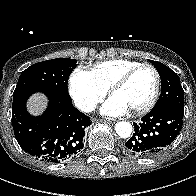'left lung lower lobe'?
<instances>
[{
    "label": "left lung lower lobe",
    "instance_id": "0a47b994",
    "mask_svg": "<svg viewBox=\"0 0 196 196\" xmlns=\"http://www.w3.org/2000/svg\"><path fill=\"white\" fill-rule=\"evenodd\" d=\"M184 108L167 105L152 109L134 124L133 136L125 143V152L138 157H150L167 148L179 135Z\"/></svg>",
    "mask_w": 196,
    "mask_h": 196
}]
</instances>
